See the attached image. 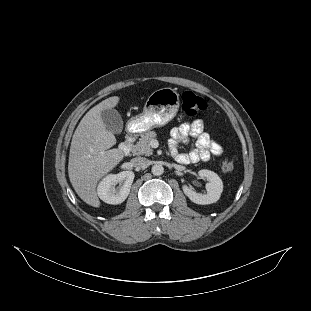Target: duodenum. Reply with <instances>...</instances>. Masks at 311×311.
<instances>
[{
  "instance_id": "obj_1",
  "label": "duodenum",
  "mask_w": 311,
  "mask_h": 311,
  "mask_svg": "<svg viewBox=\"0 0 311 311\" xmlns=\"http://www.w3.org/2000/svg\"><path fill=\"white\" fill-rule=\"evenodd\" d=\"M133 139V135L128 134L125 140L120 144L119 148L123 154H128L130 152L133 144Z\"/></svg>"
}]
</instances>
